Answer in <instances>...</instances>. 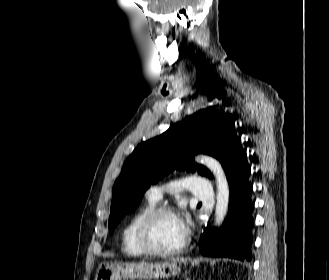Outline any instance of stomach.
Returning a JSON list of instances; mask_svg holds the SVG:
<instances>
[{
	"label": "stomach",
	"mask_w": 329,
	"mask_h": 280,
	"mask_svg": "<svg viewBox=\"0 0 329 280\" xmlns=\"http://www.w3.org/2000/svg\"><path fill=\"white\" fill-rule=\"evenodd\" d=\"M180 272L181 265L178 260L162 263H103L96 271L95 280H125L128 278L150 280L174 277Z\"/></svg>",
	"instance_id": "obj_1"
}]
</instances>
